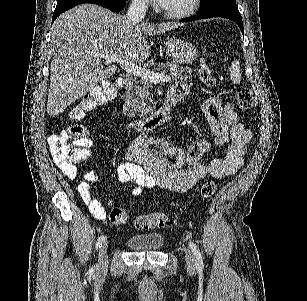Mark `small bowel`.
I'll return each mask as SVG.
<instances>
[{"label":"small bowel","mask_w":307,"mask_h":301,"mask_svg":"<svg viewBox=\"0 0 307 301\" xmlns=\"http://www.w3.org/2000/svg\"><path fill=\"white\" fill-rule=\"evenodd\" d=\"M171 92L184 97L189 87L184 82L174 85ZM203 112L212 130L215 147H226L224 159L214 158L206 163L202 157L210 151L211 143L198 141L187 148L168 145L161 139L135 140L126 153L127 162L119 165L116 176L120 183H133L132 194L141 195L146 189L160 187L183 193L207 176L220 178L236 173L243 164L252 132L239 119L233 105L219 98H210L203 105ZM90 148L93 141L87 137ZM69 178L77 177V168L67 162L55 160ZM99 180V173L90 170L77 186V191L89 211L98 220L106 218L101 201L93 194L91 184Z\"/></svg>","instance_id":"1"}]
</instances>
